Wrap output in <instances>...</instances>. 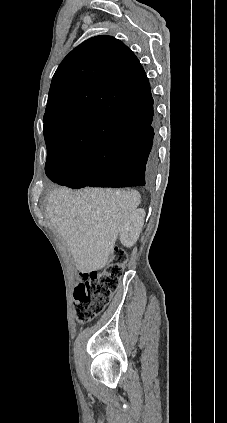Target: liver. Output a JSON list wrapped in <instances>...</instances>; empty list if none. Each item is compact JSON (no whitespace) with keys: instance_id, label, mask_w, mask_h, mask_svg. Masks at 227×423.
Here are the masks:
<instances>
[{"instance_id":"obj_1","label":"liver","mask_w":227,"mask_h":423,"mask_svg":"<svg viewBox=\"0 0 227 423\" xmlns=\"http://www.w3.org/2000/svg\"><path fill=\"white\" fill-rule=\"evenodd\" d=\"M140 202L136 190L58 188L49 194L46 217L69 245L77 269L90 273L105 267L124 221Z\"/></svg>"}]
</instances>
